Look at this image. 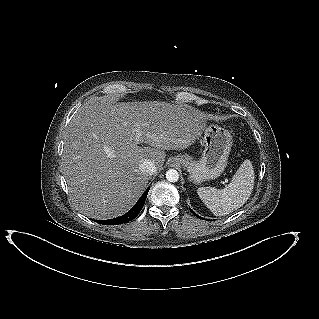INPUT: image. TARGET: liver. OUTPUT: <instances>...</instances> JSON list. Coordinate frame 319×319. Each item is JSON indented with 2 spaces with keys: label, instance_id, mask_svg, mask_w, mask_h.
Masks as SVG:
<instances>
[{
  "label": "liver",
  "instance_id": "obj_1",
  "mask_svg": "<svg viewBox=\"0 0 319 319\" xmlns=\"http://www.w3.org/2000/svg\"><path fill=\"white\" fill-rule=\"evenodd\" d=\"M206 118L187 105L160 101L84 104L64 137L62 172L69 200L92 219L126 213L148 184L139 164L151 160L161 170L165 150H184L201 137ZM141 132L135 143V129Z\"/></svg>",
  "mask_w": 319,
  "mask_h": 319
}]
</instances>
